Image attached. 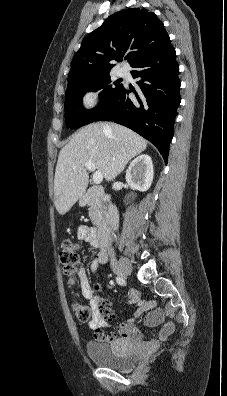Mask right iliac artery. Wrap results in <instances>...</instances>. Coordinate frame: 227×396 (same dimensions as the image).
<instances>
[{"mask_svg":"<svg viewBox=\"0 0 227 396\" xmlns=\"http://www.w3.org/2000/svg\"><path fill=\"white\" fill-rule=\"evenodd\" d=\"M116 282L121 286H124L126 284L125 280L121 277H116Z\"/></svg>","mask_w":227,"mask_h":396,"instance_id":"1","label":"right iliac artery"}]
</instances>
